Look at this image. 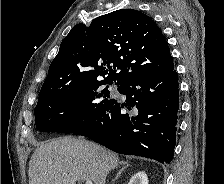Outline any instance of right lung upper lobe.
<instances>
[{
    "mask_svg": "<svg viewBox=\"0 0 224 184\" xmlns=\"http://www.w3.org/2000/svg\"><path fill=\"white\" fill-rule=\"evenodd\" d=\"M172 67L168 43L152 18L134 9L117 10L70 30L50 64L38 103L70 86L122 85Z\"/></svg>",
    "mask_w": 224,
    "mask_h": 184,
    "instance_id": "cb5924a9",
    "label": "right lung upper lobe"
}]
</instances>
